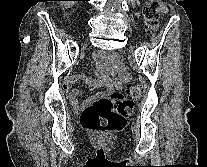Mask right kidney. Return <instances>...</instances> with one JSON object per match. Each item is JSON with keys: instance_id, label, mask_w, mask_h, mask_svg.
<instances>
[{"instance_id": "ca27d5eb", "label": "right kidney", "mask_w": 207, "mask_h": 167, "mask_svg": "<svg viewBox=\"0 0 207 167\" xmlns=\"http://www.w3.org/2000/svg\"><path fill=\"white\" fill-rule=\"evenodd\" d=\"M61 5L67 8L71 5V2H61Z\"/></svg>"}]
</instances>
